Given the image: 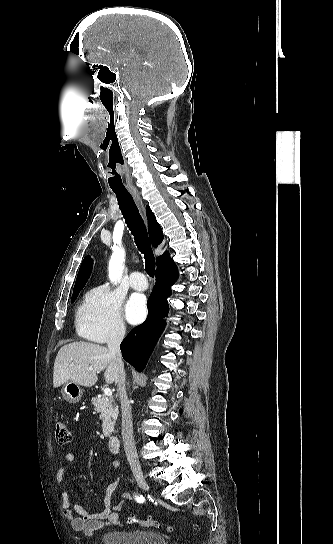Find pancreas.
Segmentation results:
<instances>
[{
  "label": "pancreas",
  "mask_w": 333,
  "mask_h": 544,
  "mask_svg": "<svg viewBox=\"0 0 333 544\" xmlns=\"http://www.w3.org/2000/svg\"><path fill=\"white\" fill-rule=\"evenodd\" d=\"M92 404L94 409L100 414L102 420V429L105 436H110L114 432L115 422L118 416V408L113 399L103 396L102 398L93 397Z\"/></svg>",
  "instance_id": "obj_1"
}]
</instances>
